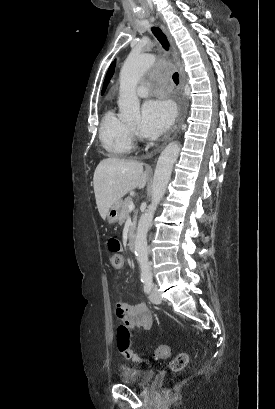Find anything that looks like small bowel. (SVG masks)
Returning <instances> with one entry per match:
<instances>
[{"mask_svg": "<svg viewBox=\"0 0 275 409\" xmlns=\"http://www.w3.org/2000/svg\"><path fill=\"white\" fill-rule=\"evenodd\" d=\"M116 317L126 325H118L116 328V340L118 353L124 356L125 360H132L134 366L141 364V359L136 352L131 350V339L129 334H135L138 329H150L153 326V316L149 306L144 303L122 306L119 303L116 310Z\"/></svg>", "mask_w": 275, "mask_h": 409, "instance_id": "obj_1", "label": "small bowel"}]
</instances>
